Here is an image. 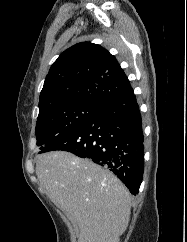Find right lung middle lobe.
<instances>
[{
    "label": "right lung middle lobe",
    "mask_w": 187,
    "mask_h": 242,
    "mask_svg": "<svg viewBox=\"0 0 187 242\" xmlns=\"http://www.w3.org/2000/svg\"><path fill=\"white\" fill-rule=\"evenodd\" d=\"M102 106L84 102L60 105L39 114L36 124L37 146L44 149L71 132L101 110Z\"/></svg>",
    "instance_id": "dd1d6c3e"
}]
</instances>
